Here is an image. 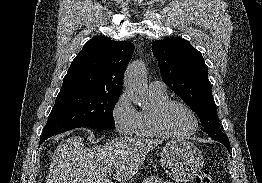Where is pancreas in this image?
I'll return each instance as SVG.
<instances>
[{
  "label": "pancreas",
  "instance_id": "1",
  "mask_svg": "<svg viewBox=\"0 0 262 183\" xmlns=\"http://www.w3.org/2000/svg\"><path fill=\"white\" fill-rule=\"evenodd\" d=\"M143 183H171V182L168 180L159 178L158 176H150L148 178H145Z\"/></svg>",
  "mask_w": 262,
  "mask_h": 183
}]
</instances>
